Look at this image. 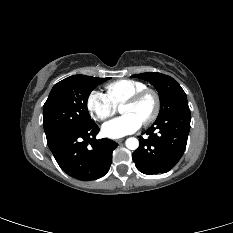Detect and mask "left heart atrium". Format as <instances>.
<instances>
[{
    "label": "left heart atrium",
    "mask_w": 233,
    "mask_h": 233,
    "mask_svg": "<svg viewBox=\"0 0 233 233\" xmlns=\"http://www.w3.org/2000/svg\"><path fill=\"white\" fill-rule=\"evenodd\" d=\"M142 125V122L132 114H124L114 118L102 126L104 136L111 139H118L136 132Z\"/></svg>",
    "instance_id": "1"
}]
</instances>
